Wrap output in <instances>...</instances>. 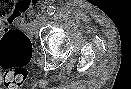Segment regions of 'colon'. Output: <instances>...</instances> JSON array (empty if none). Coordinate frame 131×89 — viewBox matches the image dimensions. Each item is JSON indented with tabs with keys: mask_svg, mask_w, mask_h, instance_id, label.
Instances as JSON below:
<instances>
[{
	"mask_svg": "<svg viewBox=\"0 0 131 89\" xmlns=\"http://www.w3.org/2000/svg\"><path fill=\"white\" fill-rule=\"evenodd\" d=\"M8 4V8L3 10V5ZM15 5L11 1H0V19L14 15L21 24H30L34 21L35 15L24 14L27 8L17 14ZM32 43L30 38L21 30H9L0 38V81L8 88H17L22 85L27 76L26 65L32 57Z\"/></svg>",
	"mask_w": 131,
	"mask_h": 89,
	"instance_id": "1",
	"label": "colon"
}]
</instances>
